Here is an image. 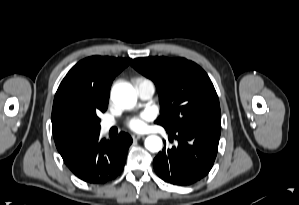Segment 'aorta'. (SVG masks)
<instances>
[{
  "label": "aorta",
  "instance_id": "1",
  "mask_svg": "<svg viewBox=\"0 0 299 205\" xmlns=\"http://www.w3.org/2000/svg\"><path fill=\"white\" fill-rule=\"evenodd\" d=\"M111 98L113 102L122 108H132L137 101V95L129 83H120L115 85L111 91ZM162 139L158 136L152 135L145 139V147L151 152H158L162 149Z\"/></svg>",
  "mask_w": 299,
  "mask_h": 205
}]
</instances>
